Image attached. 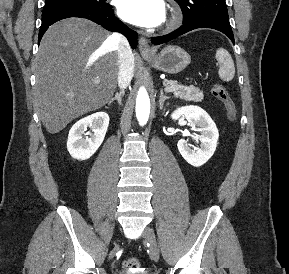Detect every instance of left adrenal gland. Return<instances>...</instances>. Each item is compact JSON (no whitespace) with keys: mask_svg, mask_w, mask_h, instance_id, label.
Masks as SVG:
<instances>
[{"mask_svg":"<svg viewBox=\"0 0 289 274\" xmlns=\"http://www.w3.org/2000/svg\"><path fill=\"white\" fill-rule=\"evenodd\" d=\"M169 98H170L169 96L164 95L163 90L160 91V98H159L160 109H163L165 100H167Z\"/></svg>","mask_w":289,"mask_h":274,"instance_id":"1","label":"left adrenal gland"}]
</instances>
